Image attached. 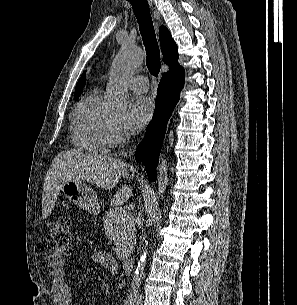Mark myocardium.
I'll list each match as a JSON object with an SVG mask.
<instances>
[{
  "mask_svg": "<svg viewBox=\"0 0 297 305\" xmlns=\"http://www.w3.org/2000/svg\"><path fill=\"white\" fill-rule=\"evenodd\" d=\"M111 142L112 144H118L121 142V137L119 134V124L113 121L111 125Z\"/></svg>",
  "mask_w": 297,
  "mask_h": 305,
  "instance_id": "1",
  "label": "myocardium"
}]
</instances>
